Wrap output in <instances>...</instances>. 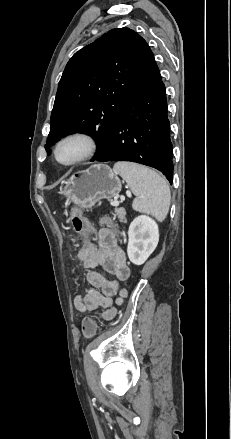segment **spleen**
<instances>
[{"label": "spleen", "instance_id": "obj_1", "mask_svg": "<svg viewBox=\"0 0 231 439\" xmlns=\"http://www.w3.org/2000/svg\"><path fill=\"white\" fill-rule=\"evenodd\" d=\"M114 171L128 184L136 198L132 208L163 221L169 211L171 194L167 181L155 171L130 162H118Z\"/></svg>", "mask_w": 231, "mask_h": 439}]
</instances>
